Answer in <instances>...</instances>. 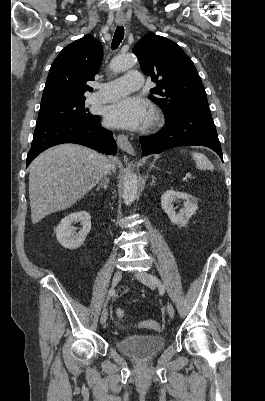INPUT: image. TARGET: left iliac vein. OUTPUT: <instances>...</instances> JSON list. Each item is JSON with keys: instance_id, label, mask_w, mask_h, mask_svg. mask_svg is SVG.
Wrapping results in <instances>:
<instances>
[{"instance_id": "left-iliac-vein-1", "label": "left iliac vein", "mask_w": 265, "mask_h": 401, "mask_svg": "<svg viewBox=\"0 0 265 401\" xmlns=\"http://www.w3.org/2000/svg\"><path fill=\"white\" fill-rule=\"evenodd\" d=\"M134 276L144 284H149L152 286L157 285L154 283L155 276H153L152 274H150L148 272H145V271L135 272ZM157 287H159V286L157 285ZM167 313L170 318H174L175 310H174L173 305L170 302L167 303Z\"/></svg>"}]
</instances>
